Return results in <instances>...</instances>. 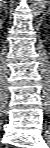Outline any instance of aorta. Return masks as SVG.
<instances>
[{"label": "aorta", "instance_id": "762f6f07", "mask_svg": "<svg viewBox=\"0 0 50 148\" xmlns=\"http://www.w3.org/2000/svg\"><path fill=\"white\" fill-rule=\"evenodd\" d=\"M33 9L36 11V14H40L42 10L45 8L44 0H32Z\"/></svg>", "mask_w": 50, "mask_h": 148}]
</instances>
